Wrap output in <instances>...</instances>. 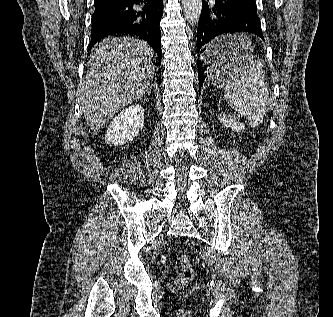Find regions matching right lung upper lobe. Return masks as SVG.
I'll return each instance as SVG.
<instances>
[{
    "instance_id": "right-lung-upper-lobe-1",
    "label": "right lung upper lobe",
    "mask_w": 333,
    "mask_h": 317,
    "mask_svg": "<svg viewBox=\"0 0 333 317\" xmlns=\"http://www.w3.org/2000/svg\"><path fill=\"white\" fill-rule=\"evenodd\" d=\"M115 0H95V3H108V2H112Z\"/></svg>"
}]
</instances>
